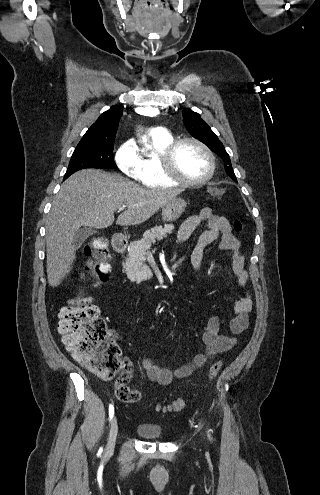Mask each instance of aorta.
Listing matches in <instances>:
<instances>
[{"label":"aorta","instance_id":"aorta-1","mask_svg":"<svg viewBox=\"0 0 320 495\" xmlns=\"http://www.w3.org/2000/svg\"><path fill=\"white\" fill-rule=\"evenodd\" d=\"M146 111L150 114H156L158 112L156 108H152V107L146 108Z\"/></svg>","mask_w":320,"mask_h":495}]
</instances>
